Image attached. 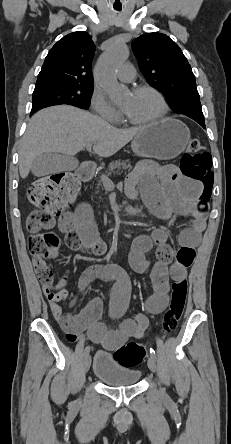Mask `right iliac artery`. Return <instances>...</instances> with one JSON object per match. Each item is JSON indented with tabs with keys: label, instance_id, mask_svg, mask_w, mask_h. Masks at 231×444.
<instances>
[{
	"label": "right iliac artery",
	"instance_id": "right-iliac-artery-1",
	"mask_svg": "<svg viewBox=\"0 0 231 444\" xmlns=\"http://www.w3.org/2000/svg\"><path fill=\"white\" fill-rule=\"evenodd\" d=\"M89 352H90V347L87 346V347L85 348V350H84V356H86L87 354H89Z\"/></svg>",
	"mask_w": 231,
	"mask_h": 444
}]
</instances>
